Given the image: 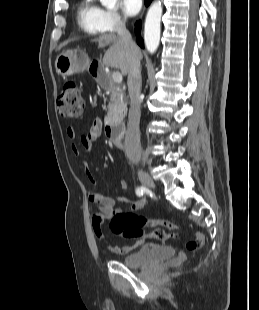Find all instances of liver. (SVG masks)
Listing matches in <instances>:
<instances>
[{
	"instance_id": "1",
	"label": "liver",
	"mask_w": 259,
	"mask_h": 310,
	"mask_svg": "<svg viewBox=\"0 0 259 310\" xmlns=\"http://www.w3.org/2000/svg\"><path fill=\"white\" fill-rule=\"evenodd\" d=\"M94 42L98 43L99 48L111 44L109 49L105 52L103 64L109 67L119 68L122 75L126 76L129 72L131 63V50L129 47L115 34L101 35L95 39ZM136 55L141 58V53L138 48L136 50Z\"/></svg>"
}]
</instances>
